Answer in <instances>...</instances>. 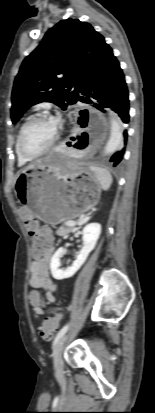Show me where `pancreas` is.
<instances>
[{
    "label": "pancreas",
    "mask_w": 155,
    "mask_h": 413,
    "mask_svg": "<svg viewBox=\"0 0 155 413\" xmlns=\"http://www.w3.org/2000/svg\"><path fill=\"white\" fill-rule=\"evenodd\" d=\"M73 226H62L60 229L57 231V234L60 236H64L68 234L72 230Z\"/></svg>",
    "instance_id": "pancreas-1"
}]
</instances>
